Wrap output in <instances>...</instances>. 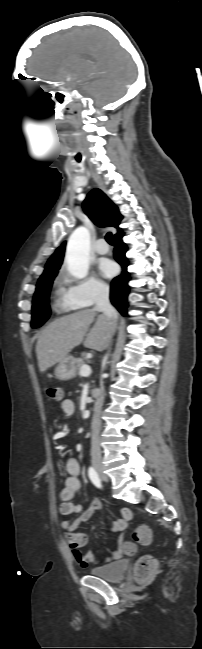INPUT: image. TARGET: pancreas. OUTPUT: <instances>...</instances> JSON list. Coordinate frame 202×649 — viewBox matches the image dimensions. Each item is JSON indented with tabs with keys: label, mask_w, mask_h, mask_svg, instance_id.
<instances>
[{
	"label": "pancreas",
	"mask_w": 202,
	"mask_h": 649,
	"mask_svg": "<svg viewBox=\"0 0 202 649\" xmlns=\"http://www.w3.org/2000/svg\"><path fill=\"white\" fill-rule=\"evenodd\" d=\"M83 365H86L85 362H84L83 360H78V370H79L78 374H79V375H80V369H81V367H82Z\"/></svg>",
	"instance_id": "pancreas-1"
}]
</instances>
